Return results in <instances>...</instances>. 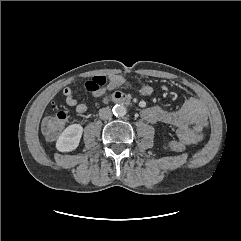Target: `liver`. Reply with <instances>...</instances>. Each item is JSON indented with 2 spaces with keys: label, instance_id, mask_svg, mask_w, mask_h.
I'll return each instance as SVG.
<instances>
[{
  "label": "liver",
  "instance_id": "1",
  "mask_svg": "<svg viewBox=\"0 0 241 241\" xmlns=\"http://www.w3.org/2000/svg\"><path fill=\"white\" fill-rule=\"evenodd\" d=\"M46 118H44L43 124L45 123Z\"/></svg>",
  "mask_w": 241,
  "mask_h": 241
}]
</instances>
